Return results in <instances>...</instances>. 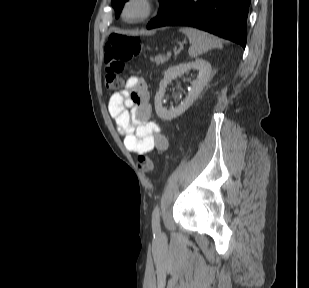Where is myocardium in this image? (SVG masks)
Here are the masks:
<instances>
[{
	"instance_id": "obj_1",
	"label": "myocardium",
	"mask_w": 309,
	"mask_h": 288,
	"mask_svg": "<svg viewBox=\"0 0 309 288\" xmlns=\"http://www.w3.org/2000/svg\"><path fill=\"white\" fill-rule=\"evenodd\" d=\"M134 2L143 4V12L139 17L130 19L127 17V9ZM159 6V0H125L121 8V17L126 23L129 24L141 23L149 19L157 11Z\"/></svg>"
}]
</instances>
